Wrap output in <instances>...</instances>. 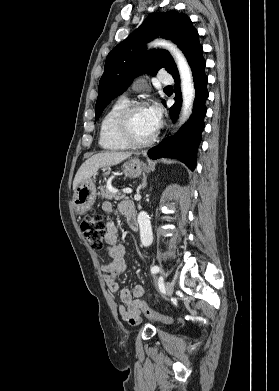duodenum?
<instances>
[{"label":"duodenum","mask_w":279,"mask_h":391,"mask_svg":"<svg viewBox=\"0 0 279 391\" xmlns=\"http://www.w3.org/2000/svg\"><path fill=\"white\" fill-rule=\"evenodd\" d=\"M125 215H126V218H127V221H128V224H129L130 228L132 230H134V231H138L139 230V224H138V221H137V217H136V212H135L134 206L127 208L125 210Z\"/></svg>","instance_id":"duodenum-1"}]
</instances>
